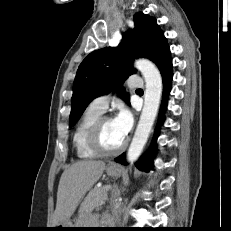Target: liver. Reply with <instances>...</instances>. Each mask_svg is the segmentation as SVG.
Listing matches in <instances>:
<instances>
[{
  "label": "liver",
  "instance_id": "1",
  "mask_svg": "<svg viewBox=\"0 0 231 231\" xmlns=\"http://www.w3.org/2000/svg\"><path fill=\"white\" fill-rule=\"evenodd\" d=\"M105 168L103 161L81 160L63 172L58 186L53 227L70 220L80 200L100 179Z\"/></svg>",
  "mask_w": 231,
  "mask_h": 231
}]
</instances>
